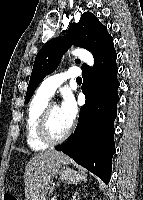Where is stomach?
Returning a JSON list of instances; mask_svg holds the SVG:
<instances>
[{
  "label": "stomach",
  "mask_w": 143,
  "mask_h": 200,
  "mask_svg": "<svg viewBox=\"0 0 143 200\" xmlns=\"http://www.w3.org/2000/svg\"><path fill=\"white\" fill-rule=\"evenodd\" d=\"M60 179L70 184H77L86 179L84 171H75L74 169L64 166L59 170Z\"/></svg>",
  "instance_id": "1"
}]
</instances>
